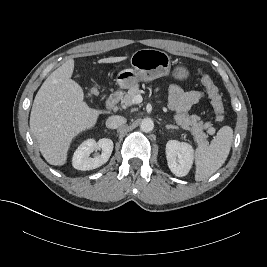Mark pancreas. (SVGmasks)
Segmentation results:
<instances>
[{"mask_svg": "<svg viewBox=\"0 0 267 267\" xmlns=\"http://www.w3.org/2000/svg\"><path fill=\"white\" fill-rule=\"evenodd\" d=\"M140 93L141 90L138 84L131 87L121 99V105L123 107L131 106L134 104V97ZM174 120L177 125L191 132L196 143L202 144L207 142L208 135L203 130L212 126L210 122L203 123L198 115H189L188 113H177L174 115Z\"/></svg>", "mask_w": 267, "mask_h": 267, "instance_id": "cf45deb5", "label": "pancreas"}]
</instances>
